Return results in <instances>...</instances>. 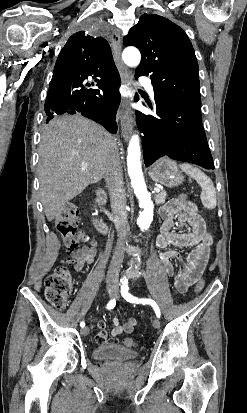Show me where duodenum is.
<instances>
[{
    "label": "duodenum",
    "instance_id": "1",
    "mask_svg": "<svg viewBox=\"0 0 247 413\" xmlns=\"http://www.w3.org/2000/svg\"><path fill=\"white\" fill-rule=\"evenodd\" d=\"M97 197L95 200V207H101L106 203V194L103 190L99 189L96 193ZM92 222L95 226V228L104 235H108L109 234V228L107 226V224L101 220L99 217L97 216H93L92 218Z\"/></svg>",
    "mask_w": 247,
    "mask_h": 413
}]
</instances>
